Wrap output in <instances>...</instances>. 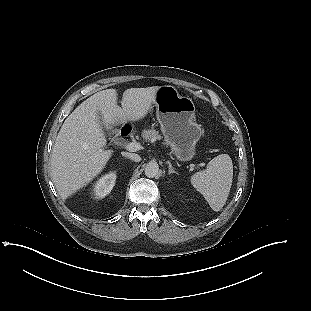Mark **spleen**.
Wrapping results in <instances>:
<instances>
[{
	"instance_id": "3e777b00",
	"label": "spleen",
	"mask_w": 311,
	"mask_h": 311,
	"mask_svg": "<svg viewBox=\"0 0 311 311\" xmlns=\"http://www.w3.org/2000/svg\"><path fill=\"white\" fill-rule=\"evenodd\" d=\"M233 178L232 160L227 154L213 158L207 168L191 176V184L214 211L222 209L228 198Z\"/></svg>"
}]
</instances>
